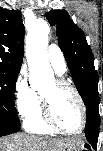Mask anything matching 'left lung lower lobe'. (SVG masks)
Wrapping results in <instances>:
<instances>
[{"label":"left lung lower lobe","mask_w":103,"mask_h":151,"mask_svg":"<svg viewBox=\"0 0 103 151\" xmlns=\"http://www.w3.org/2000/svg\"><path fill=\"white\" fill-rule=\"evenodd\" d=\"M85 105L87 107L86 138L96 150L100 125L98 86L95 85L92 87L85 101Z\"/></svg>","instance_id":"0a47b994"}]
</instances>
